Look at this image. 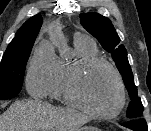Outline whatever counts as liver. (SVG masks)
I'll list each match as a JSON object with an SVG mask.
<instances>
[{
    "instance_id": "1",
    "label": "liver",
    "mask_w": 151,
    "mask_h": 131,
    "mask_svg": "<svg viewBox=\"0 0 151 131\" xmlns=\"http://www.w3.org/2000/svg\"><path fill=\"white\" fill-rule=\"evenodd\" d=\"M90 118L74 109L16 101L0 115V131H78Z\"/></svg>"
}]
</instances>
